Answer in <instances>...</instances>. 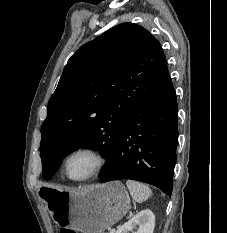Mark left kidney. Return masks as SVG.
<instances>
[{
  "label": "left kidney",
  "mask_w": 227,
  "mask_h": 233,
  "mask_svg": "<svg viewBox=\"0 0 227 233\" xmlns=\"http://www.w3.org/2000/svg\"><path fill=\"white\" fill-rule=\"evenodd\" d=\"M139 228L136 232H132L133 229ZM155 227V216L149 209L142 210L137 213L128 222L118 228L116 233H153Z\"/></svg>",
  "instance_id": "1"
}]
</instances>
